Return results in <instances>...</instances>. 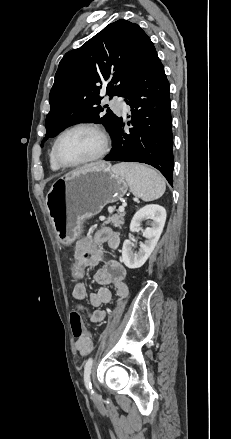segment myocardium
<instances>
[{
  "label": "myocardium",
  "instance_id": "myocardium-1",
  "mask_svg": "<svg viewBox=\"0 0 231 439\" xmlns=\"http://www.w3.org/2000/svg\"><path fill=\"white\" fill-rule=\"evenodd\" d=\"M79 129H87V130H91L96 132L101 140H102V147L100 149V151L95 154L94 156L85 159L83 161H79V162H75V163H68L65 162L60 154H59V143L61 141V139L68 134L69 132H72L74 130H79ZM111 147V137L109 135V133L106 131V129H104L103 127H101L100 125L94 124V123H79V124H75L71 127H68L67 129H65L64 131H62L57 138L54 141L53 144V154H54V158L56 160V162L64 168H75V167H79V166H83L86 164H90L93 162H96L100 159H102L103 157H105L107 155V153L109 152Z\"/></svg>",
  "mask_w": 231,
  "mask_h": 439
}]
</instances>
